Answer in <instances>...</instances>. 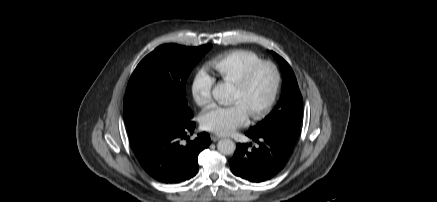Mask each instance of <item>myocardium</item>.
Returning a JSON list of instances; mask_svg holds the SVG:
<instances>
[{"instance_id": "1", "label": "myocardium", "mask_w": 437, "mask_h": 202, "mask_svg": "<svg viewBox=\"0 0 437 202\" xmlns=\"http://www.w3.org/2000/svg\"><path fill=\"white\" fill-rule=\"evenodd\" d=\"M264 66H267V67L272 69L273 74H274V84H273L272 92H271L268 100L257 111L250 114V117L253 120L262 119L263 117H265L269 113V111L273 107V105L277 99L280 85H281V74H280L279 68L277 67V65L274 62H272L270 60H260V61L256 62L255 64L251 65L243 73V75L238 80H236L234 82V85L241 88V89L248 87V85L250 84L251 80L253 79L255 73L260 68H262Z\"/></svg>"}]
</instances>
